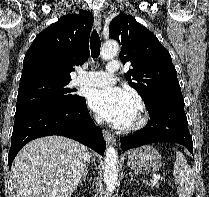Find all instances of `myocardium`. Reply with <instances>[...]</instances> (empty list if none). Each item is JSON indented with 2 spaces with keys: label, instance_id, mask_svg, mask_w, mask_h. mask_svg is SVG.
Wrapping results in <instances>:
<instances>
[{
  "label": "myocardium",
  "instance_id": "myocardium-1",
  "mask_svg": "<svg viewBox=\"0 0 209 197\" xmlns=\"http://www.w3.org/2000/svg\"><path fill=\"white\" fill-rule=\"evenodd\" d=\"M146 122H147L146 109H145L144 105L141 102H139L137 116H136V119L134 120V122L131 124L130 129L131 130L139 129Z\"/></svg>",
  "mask_w": 209,
  "mask_h": 197
}]
</instances>
